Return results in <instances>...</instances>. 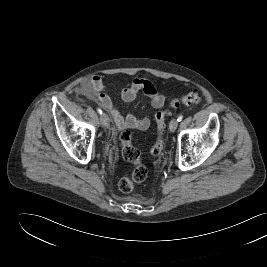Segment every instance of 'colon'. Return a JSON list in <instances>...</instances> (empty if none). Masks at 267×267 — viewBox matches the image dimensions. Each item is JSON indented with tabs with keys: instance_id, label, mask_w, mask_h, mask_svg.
<instances>
[{
	"instance_id": "colon-1",
	"label": "colon",
	"mask_w": 267,
	"mask_h": 267,
	"mask_svg": "<svg viewBox=\"0 0 267 267\" xmlns=\"http://www.w3.org/2000/svg\"><path fill=\"white\" fill-rule=\"evenodd\" d=\"M200 102L201 97L196 92H190L180 98L173 99L167 109L156 113L157 141L150 149V153L153 156L159 155L163 149L166 118L170 114V110L176 109L182 105H198ZM132 135L130 129H125L121 132L119 137L122 156L127 162L132 164V167L123 174L118 183L119 189L125 193L131 192L134 187L143 182L148 175V170L141 161L139 151L132 145Z\"/></svg>"
}]
</instances>
